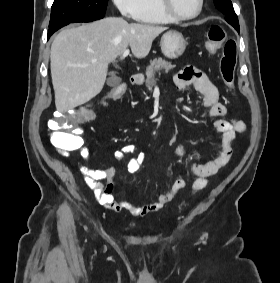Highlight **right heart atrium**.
Instances as JSON below:
<instances>
[{
  "label": "right heart atrium",
  "mask_w": 280,
  "mask_h": 283,
  "mask_svg": "<svg viewBox=\"0 0 280 283\" xmlns=\"http://www.w3.org/2000/svg\"><path fill=\"white\" fill-rule=\"evenodd\" d=\"M120 14L127 19H135L140 11V0H113Z\"/></svg>",
  "instance_id": "obj_1"
}]
</instances>
